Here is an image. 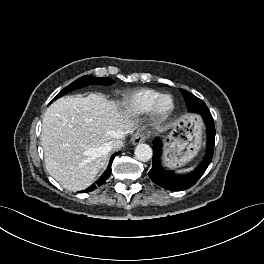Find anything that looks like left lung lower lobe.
I'll list each match as a JSON object with an SVG mask.
<instances>
[{
    "label": "left lung lower lobe",
    "instance_id": "1",
    "mask_svg": "<svg viewBox=\"0 0 264 264\" xmlns=\"http://www.w3.org/2000/svg\"><path fill=\"white\" fill-rule=\"evenodd\" d=\"M208 132L207 153L203 162L189 175L179 176L165 171L160 164L161 145L159 140L154 139L153 143V160L152 168L148 173L150 179L157 185L171 191H182L192 187L206 171L213 157V149L215 143V126L214 120L209 110L201 113Z\"/></svg>",
    "mask_w": 264,
    "mask_h": 264
}]
</instances>
